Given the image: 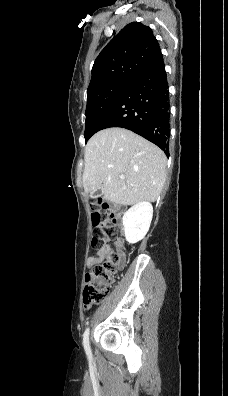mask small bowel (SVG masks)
Returning a JSON list of instances; mask_svg holds the SVG:
<instances>
[{"label": "small bowel", "instance_id": "1", "mask_svg": "<svg viewBox=\"0 0 228 396\" xmlns=\"http://www.w3.org/2000/svg\"><path fill=\"white\" fill-rule=\"evenodd\" d=\"M108 252H109V247H108V246H103V247H101V248L96 252V254H94V255H92V256H90V257L88 258V260H87V265H88L89 267H92V266H94V265H97V264L102 263V262L105 260V258H106V256H107Z\"/></svg>", "mask_w": 228, "mask_h": 396}]
</instances>
